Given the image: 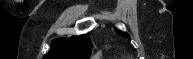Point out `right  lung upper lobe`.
<instances>
[{"mask_svg": "<svg viewBox=\"0 0 193 59\" xmlns=\"http://www.w3.org/2000/svg\"><path fill=\"white\" fill-rule=\"evenodd\" d=\"M90 37L82 35L68 39H55L43 59H87L91 54Z\"/></svg>", "mask_w": 193, "mask_h": 59, "instance_id": "right-lung-upper-lobe-1", "label": "right lung upper lobe"}]
</instances>
